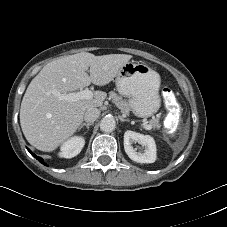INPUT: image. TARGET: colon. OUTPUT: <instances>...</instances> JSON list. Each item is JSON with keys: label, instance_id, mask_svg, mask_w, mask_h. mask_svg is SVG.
Here are the masks:
<instances>
[{"label": "colon", "instance_id": "1", "mask_svg": "<svg viewBox=\"0 0 227 227\" xmlns=\"http://www.w3.org/2000/svg\"><path fill=\"white\" fill-rule=\"evenodd\" d=\"M161 96L166 102L170 103L171 105L179 106L177 98L170 88H163L161 90Z\"/></svg>", "mask_w": 227, "mask_h": 227}]
</instances>
